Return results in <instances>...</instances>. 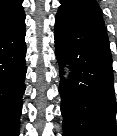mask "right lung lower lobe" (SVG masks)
Wrapping results in <instances>:
<instances>
[{
  "label": "right lung lower lobe",
  "instance_id": "1",
  "mask_svg": "<svg viewBox=\"0 0 117 136\" xmlns=\"http://www.w3.org/2000/svg\"><path fill=\"white\" fill-rule=\"evenodd\" d=\"M25 24L0 35V136H18L25 91Z\"/></svg>",
  "mask_w": 117,
  "mask_h": 136
}]
</instances>
